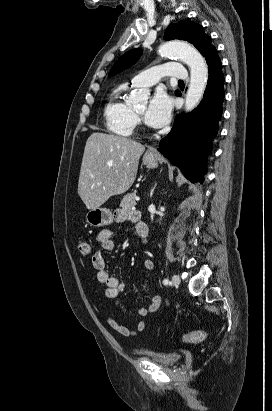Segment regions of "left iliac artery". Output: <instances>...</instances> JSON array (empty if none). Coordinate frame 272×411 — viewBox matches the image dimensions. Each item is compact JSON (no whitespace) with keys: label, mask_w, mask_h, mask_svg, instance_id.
Instances as JSON below:
<instances>
[{"label":"left iliac artery","mask_w":272,"mask_h":411,"mask_svg":"<svg viewBox=\"0 0 272 411\" xmlns=\"http://www.w3.org/2000/svg\"><path fill=\"white\" fill-rule=\"evenodd\" d=\"M163 283H164V285H168V284H170V281L168 279H164Z\"/></svg>","instance_id":"left-iliac-artery-1"}]
</instances>
